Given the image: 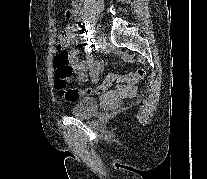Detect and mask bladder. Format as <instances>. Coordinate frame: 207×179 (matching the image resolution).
Here are the masks:
<instances>
[{"instance_id":"31cf9c89","label":"bladder","mask_w":207,"mask_h":179,"mask_svg":"<svg viewBox=\"0 0 207 179\" xmlns=\"http://www.w3.org/2000/svg\"><path fill=\"white\" fill-rule=\"evenodd\" d=\"M74 102L75 104L72 108L73 115L83 119L93 117L99 106V101L91 97H83Z\"/></svg>"}]
</instances>
